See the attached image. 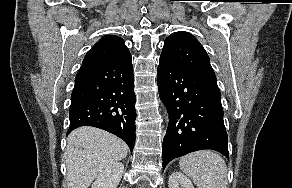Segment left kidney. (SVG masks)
Wrapping results in <instances>:
<instances>
[{
	"instance_id": "5707ae66",
	"label": "left kidney",
	"mask_w": 292,
	"mask_h": 188,
	"mask_svg": "<svg viewBox=\"0 0 292 188\" xmlns=\"http://www.w3.org/2000/svg\"><path fill=\"white\" fill-rule=\"evenodd\" d=\"M169 188H194L190 179L178 171H174L168 180Z\"/></svg>"
}]
</instances>
